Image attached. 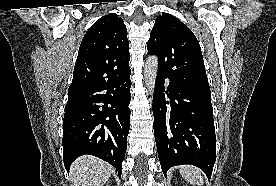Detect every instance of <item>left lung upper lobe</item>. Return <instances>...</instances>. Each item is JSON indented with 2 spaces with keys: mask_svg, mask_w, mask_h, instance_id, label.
<instances>
[{
  "mask_svg": "<svg viewBox=\"0 0 276 186\" xmlns=\"http://www.w3.org/2000/svg\"><path fill=\"white\" fill-rule=\"evenodd\" d=\"M158 56V72L170 81L197 91H210L199 42L178 18L162 13L155 20L147 44Z\"/></svg>",
  "mask_w": 276,
  "mask_h": 186,
  "instance_id": "5c2ea615",
  "label": "left lung upper lobe"
}]
</instances>
